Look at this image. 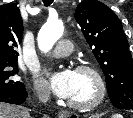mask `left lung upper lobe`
Wrapping results in <instances>:
<instances>
[{
  "mask_svg": "<svg viewBox=\"0 0 133 118\" xmlns=\"http://www.w3.org/2000/svg\"><path fill=\"white\" fill-rule=\"evenodd\" d=\"M75 19L105 75L113 106L133 110L132 56L119 18L102 2L84 0Z\"/></svg>",
  "mask_w": 133,
  "mask_h": 118,
  "instance_id": "5c2ea615",
  "label": "left lung upper lobe"
}]
</instances>
